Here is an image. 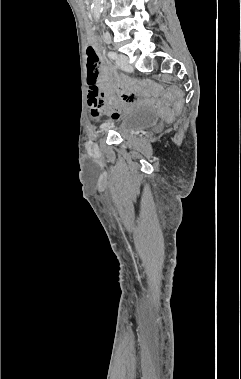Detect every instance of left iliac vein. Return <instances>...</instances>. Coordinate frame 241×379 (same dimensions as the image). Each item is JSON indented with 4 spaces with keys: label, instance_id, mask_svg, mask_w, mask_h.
Masks as SVG:
<instances>
[{
    "label": "left iliac vein",
    "instance_id": "4c4485c4",
    "mask_svg": "<svg viewBox=\"0 0 241 379\" xmlns=\"http://www.w3.org/2000/svg\"><path fill=\"white\" fill-rule=\"evenodd\" d=\"M116 63L122 70L126 72L133 71V67L129 63V58L126 55H122V54L118 55L116 58Z\"/></svg>",
    "mask_w": 241,
    "mask_h": 379
}]
</instances>
